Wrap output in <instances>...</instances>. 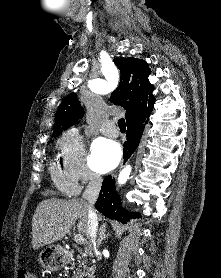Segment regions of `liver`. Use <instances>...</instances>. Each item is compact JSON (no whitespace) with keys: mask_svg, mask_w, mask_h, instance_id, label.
<instances>
[{"mask_svg":"<svg viewBox=\"0 0 221 278\" xmlns=\"http://www.w3.org/2000/svg\"><path fill=\"white\" fill-rule=\"evenodd\" d=\"M102 219V217H100ZM78 220L79 234H86L88 202L83 199L50 198L37 206L32 218V248L37 250L59 241L68 234ZM106 228V223L102 225Z\"/></svg>","mask_w":221,"mask_h":278,"instance_id":"6515ba94","label":"liver"}]
</instances>
